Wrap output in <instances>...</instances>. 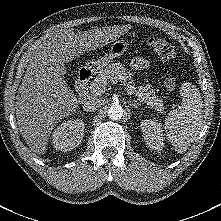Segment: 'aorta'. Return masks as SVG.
<instances>
[{"instance_id": "aorta-1", "label": "aorta", "mask_w": 221, "mask_h": 221, "mask_svg": "<svg viewBox=\"0 0 221 221\" xmlns=\"http://www.w3.org/2000/svg\"><path fill=\"white\" fill-rule=\"evenodd\" d=\"M107 113L111 120H120L123 116V108L120 105H112Z\"/></svg>"}]
</instances>
